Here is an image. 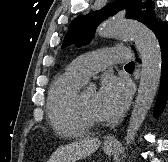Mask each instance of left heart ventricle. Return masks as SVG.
<instances>
[{"label":"left heart ventricle","instance_id":"b2bd125f","mask_svg":"<svg viewBox=\"0 0 168 162\" xmlns=\"http://www.w3.org/2000/svg\"><path fill=\"white\" fill-rule=\"evenodd\" d=\"M83 103L90 117L97 121H102L97 108V93L94 90L83 91Z\"/></svg>","mask_w":168,"mask_h":162}]
</instances>
